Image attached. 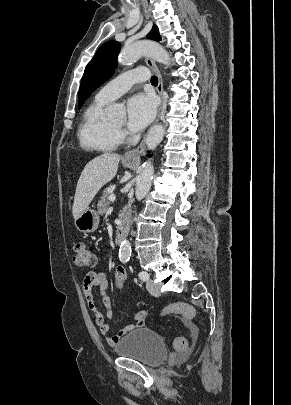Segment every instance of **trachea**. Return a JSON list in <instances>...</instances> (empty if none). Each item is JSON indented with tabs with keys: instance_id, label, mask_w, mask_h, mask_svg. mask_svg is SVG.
I'll list each match as a JSON object with an SVG mask.
<instances>
[{
	"instance_id": "3493384b",
	"label": "trachea",
	"mask_w": 291,
	"mask_h": 405,
	"mask_svg": "<svg viewBox=\"0 0 291 405\" xmlns=\"http://www.w3.org/2000/svg\"><path fill=\"white\" fill-rule=\"evenodd\" d=\"M151 84L152 85H157L158 84V78L156 76L151 77Z\"/></svg>"
}]
</instances>
